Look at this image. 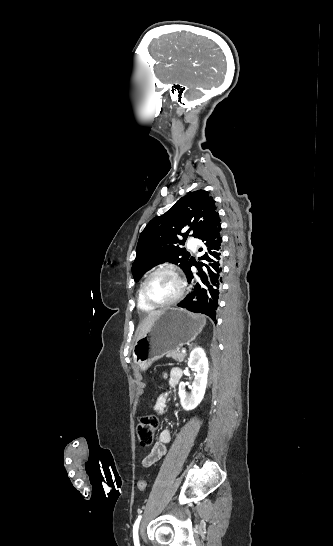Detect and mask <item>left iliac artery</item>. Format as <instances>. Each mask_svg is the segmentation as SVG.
<instances>
[{
  "label": "left iliac artery",
  "mask_w": 333,
  "mask_h": 546,
  "mask_svg": "<svg viewBox=\"0 0 333 546\" xmlns=\"http://www.w3.org/2000/svg\"><path fill=\"white\" fill-rule=\"evenodd\" d=\"M141 518H142V515L138 516V518L136 519L133 525V540H134L135 546H139L138 529H139Z\"/></svg>",
  "instance_id": "1"
}]
</instances>
